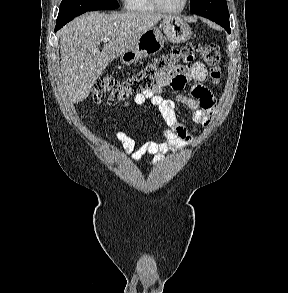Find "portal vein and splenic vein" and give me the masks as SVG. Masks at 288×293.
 Listing matches in <instances>:
<instances>
[{"mask_svg":"<svg viewBox=\"0 0 288 293\" xmlns=\"http://www.w3.org/2000/svg\"><path fill=\"white\" fill-rule=\"evenodd\" d=\"M110 39L109 38H104L103 39V42H107V41H109Z\"/></svg>","mask_w":288,"mask_h":293,"instance_id":"obj_1","label":"portal vein and splenic vein"}]
</instances>
